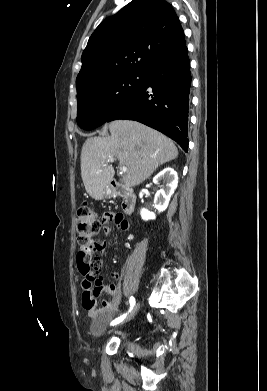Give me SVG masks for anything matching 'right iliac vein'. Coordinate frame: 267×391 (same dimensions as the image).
I'll return each instance as SVG.
<instances>
[{
	"label": "right iliac vein",
	"instance_id": "obj_1",
	"mask_svg": "<svg viewBox=\"0 0 267 391\" xmlns=\"http://www.w3.org/2000/svg\"><path fill=\"white\" fill-rule=\"evenodd\" d=\"M139 307H140V303L138 302L135 307L132 309V311L130 312V314L126 317V319L120 324V325H123L124 323H127L129 322L130 320H132L134 318V316L136 315V313L138 312L139 310Z\"/></svg>",
	"mask_w": 267,
	"mask_h": 391
}]
</instances>
